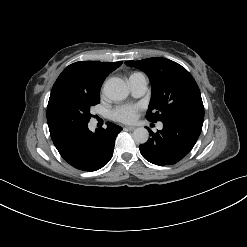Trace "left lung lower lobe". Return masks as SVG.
<instances>
[{
    "mask_svg": "<svg viewBox=\"0 0 247 247\" xmlns=\"http://www.w3.org/2000/svg\"><path fill=\"white\" fill-rule=\"evenodd\" d=\"M203 121L190 118H171L163 121L164 128L151 133V138L139 146L149 162L164 166L184 158L194 147L202 130Z\"/></svg>",
    "mask_w": 247,
    "mask_h": 247,
    "instance_id": "1",
    "label": "left lung lower lobe"
}]
</instances>
